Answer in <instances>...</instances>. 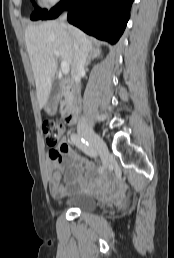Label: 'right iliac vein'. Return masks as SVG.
I'll list each match as a JSON object with an SVG mask.
<instances>
[{
  "instance_id": "1",
  "label": "right iliac vein",
  "mask_w": 174,
  "mask_h": 258,
  "mask_svg": "<svg viewBox=\"0 0 174 258\" xmlns=\"http://www.w3.org/2000/svg\"><path fill=\"white\" fill-rule=\"evenodd\" d=\"M84 138L88 140L96 149L105 167L109 164V150L104 141L92 130L84 134Z\"/></svg>"
}]
</instances>
